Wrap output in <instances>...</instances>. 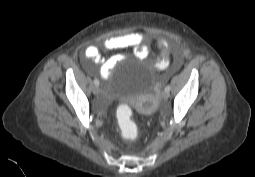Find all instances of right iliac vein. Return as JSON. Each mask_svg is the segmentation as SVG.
<instances>
[{"label":"right iliac vein","instance_id":"63e3f726","mask_svg":"<svg viewBox=\"0 0 255 177\" xmlns=\"http://www.w3.org/2000/svg\"><path fill=\"white\" fill-rule=\"evenodd\" d=\"M99 92H100L99 87H98V86H94V88H93V93H94V95H98Z\"/></svg>","mask_w":255,"mask_h":177}]
</instances>
